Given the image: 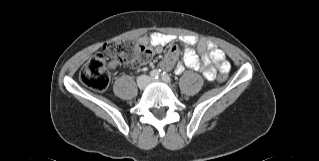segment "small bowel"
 I'll return each mask as SVG.
<instances>
[{"label":"small bowel","instance_id":"small-bowel-1","mask_svg":"<svg viewBox=\"0 0 319 161\" xmlns=\"http://www.w3.org/2000/svg\"><path fill=\"white\" fill-rule=\"evenodd\" d=\"M174 39V36L154 32L142 38L140 42L148 46L151 54L154 56L162 53L163 47ZM179 41L183 47V62L176 65V73H183L184 67L187 66L194 70L201 71L206 80L213 81L216 78V70L211 65L212 63L215 64L220 72L228 73L230 71V63L226 59L225 53L213 44L204 41L199 42L197 52L202 54V61L200 62L197 52L193 48L197 43V38L184 35L180 37ZM176 58L177 51L173 48L170 49L165 60L160 63V67L169 69Z\"/></svg>","mask_w":319,"mask_h":161}]
</instances>
